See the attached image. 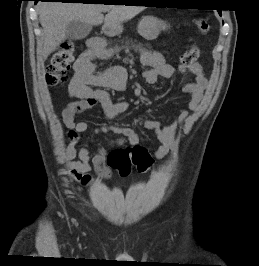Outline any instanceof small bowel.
Masks as SVG:
<instances>
[{
	"mask_svg": "<svg viewBox=\"0 0 259 266\" xmlns=\"http://www.w3.org/2000/svg\"><path fill=\"white\" fill-rule=\"evenodd\" d=\"M111 50L104 46L101 39H93L90 42L88 51L80 55L74 64V75L69 84V94L73 98L71 102L62 111L63 122L66 127L74 130L71 143L66 149L67 158L77 160L70 163L72 177L82 186L92 183V177L89 172L93 169L101 179L111 177V167L108 164V155L105 148H100L93 157L86 144L78 151L75 145L80 140V135L88 130L86 122H76L75 117L88 109L100 104L103 114L107 119H112L118 114L124 112L128 104L125 101H113L106 89L122 90L127 82V72L121 66L111 67L103 72H97L95 60L104 58ZM141 63L147 67L143 72V77L148 84H154L159 77L171 78L176 69L166 62L164 56L157 51L139 49ZM177 70L185 74L190 72L194 76L192 82L183 87V91L190 95L187 108L178 109L173 121L169 124H162L159 121L145 119L144 127L152 130L161 145L155 152L156 159H162L170 152L175 150V130L178 124L183 123L188 117L189 111L198 108L203 94L207 87L201 64L194 63L190 66L178 65ZM113 132L121 137L116 141L118 145L128 143L132 146L140 142L137 132L129 127L116 125H105L94 130L95 134Z\"/></svg>",
	"mask_w": 259,
	"mask_h": 266,
	"instance_id": "1",
	"label": "small bowel"
}]
</instances>
